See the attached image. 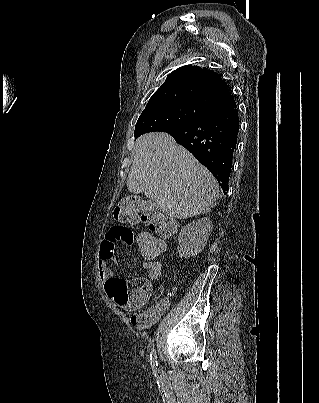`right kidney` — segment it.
<instances>
[{
	"label": "right kidney",
	"mask_w": 319,
	"mask_h": 403,
	"mask_svg": "<svg viewBox=\"0 0 319 403\" xmlns=\"http://www.w3.org/2000/svg\"><path fill=\"white\" fill-rule=\"evenodd\" d=\"M213 225L209 218L192 221L184 226L178 236L180 258L196 256L207 244Z\"/></svg>",
	"instance_id": "obj_1"
}]
</instances>
